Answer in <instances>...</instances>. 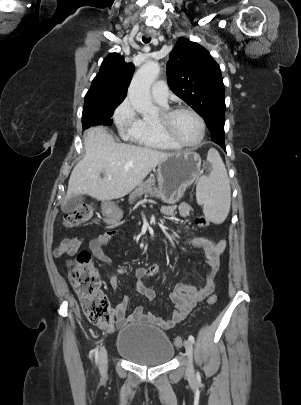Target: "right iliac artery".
Segmentation results:
<instances>
[{
	"mask_svg": "<svg viewBox=\"0 0 301 405\" xmlns=\"http://www.w3.org/2000/svg\"><path fill=\"white\" fill-rule=\"evenodd\" d=\"M93 352H94V354H95V361H96V363H98V360H99V357H98V347H96V348L93 350Z\"/></svg>",
	"mask_w": 301,
	"mask_h": 405,
	"instance_id": "82829eb1",
	"label": "right iliac artery"
}]
</instances>
